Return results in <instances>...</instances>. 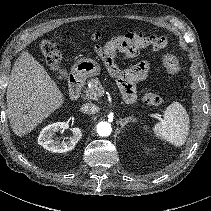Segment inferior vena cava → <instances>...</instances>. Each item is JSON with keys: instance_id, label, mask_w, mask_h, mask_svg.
Wrapping results in <instances>:
<instances>
[{"instance_id": "inferior-vena-cava-1", "label": "inferior vena cava", "mask_w": 211, "mask_h": 211, "mask_svg": "<svg viewBox=\"0 0 211 211\" xmlns=\"http://www.w3.org/2000/svg\"><path fill=\"white\" fill-rule=\"evenodd\" d=\"M98 107L93 104H85L81 107V111L85 114H95L98 112Z\"/></svg>"}]
</instances>
